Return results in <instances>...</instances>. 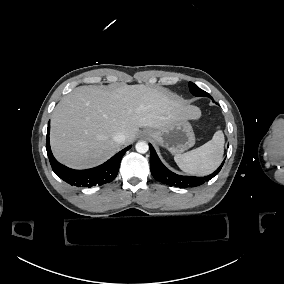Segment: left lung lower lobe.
Instances as JSON below:
<instances>
[{
  "label": "left lung lower lobe",
  "instance_id": "0a47b994",
  "mask_svg": "<svg viewBox=\"0 0 284 284\" xmlns=\"http://www.w3.org/2000/svg\"><path fill=\"white\" fill-rule=\"evenodd\" d=\"M149 147H150V168L153 177L157 181L165 183L169 186H175L181 188L200 186L204 184L206 181L213 178L221 170L224 164L223 161L220 167L214 173L205 177L180 176L167 169L158 158L151 144H149Z\"/></svg>",
  "mask_w": 284,
  "mask_h": 284
}]
</instances>
